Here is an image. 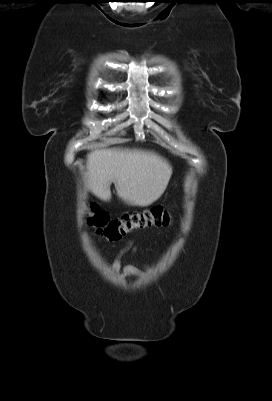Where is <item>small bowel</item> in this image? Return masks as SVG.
<instances>
[{
  "mask_svg": "<svg viewBox=\"0 0 272 401\" xmlns=\"http://www.w3.org/2000/svg\"><path fill=\"white\" fill-rule=\"evenodd\" d=\"M131 246H132V244L129 243V244H127L125 247H123V248L117 253V255L115 256L114 263H113V269H114V270H116V271L122 270V272L124 273V275L127 276V277H130V278H132V277H137V276L141 275V273H142V270L139 269V268L136 267V266H133V265H125V266L121 267V265H120V260H121V258H122L123 255L131 248ZM145 267H147V266L145 265Z\"/></svg>",
  "mask_w": 272,
  "mask_h": 401,
  "instance_id": "obj_1",
  "label": "small bowel"
}]
</instances>
